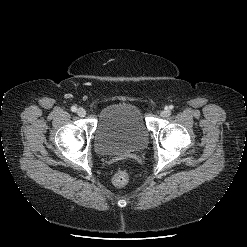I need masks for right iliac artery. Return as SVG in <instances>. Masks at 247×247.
<instances>
[{"instance_id": "1", "label": "right iliac artery", "mask_w": 247, "mask_h": 247, "mask_svg": "<svg viewBox=\"0 0 247 247\" xmlns=\"http://www.w3.org/2000/svg\"><path fill=\"white\" fill-rule=\"evenodd\" d=\"M71 110H72L73 112H76V110H77L76 106H72V107H71Z\"/></svg>"}]
</instances>
